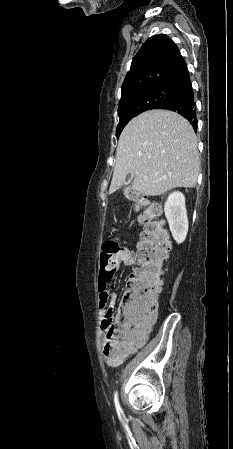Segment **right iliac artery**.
I'll list each match as a JSON object with an SVG mask.
<instances>
[{"label": "right iliac artery", "instance_id": "obj_1", "mask_svg": "<svg viewBox=\"0 0 233 449\" xmlns=\"http://www.w3.org/2000/svg\"><path fill=\"white\" fill-rule=\"evenodd\" d=\"M114 403H115V407H116L117 413L119 415L123 414L122 409H121L120 404H119L118 392L117 391L114 393Z\"/></svg>", "mask_w": 233, "mask_h": 449}]
</instances>
